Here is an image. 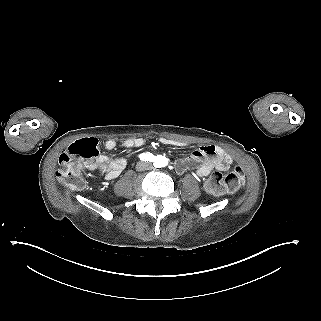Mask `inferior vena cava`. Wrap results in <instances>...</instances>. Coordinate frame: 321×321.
Masks as SVG:
<instances>
[{"instance_id": "1", "label": "inferior vena cava", "mask_w": 321, "mask_h": 321, "mask_svg": "<svg viewBox=\"0 0 321 321\" xmlns=\"http://www.w3.org/2000/svg\"><path fill=\"white\" fill-rule=\"evenodd\" d=\"M143 161L144 160H141V161H139L137 163V165H136L137 170L140 171V172H143V171H146V170L150 171L151 168H152L151 163L148 162V161H145V162H143Z\"/></svg>"}]
</instances>
